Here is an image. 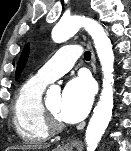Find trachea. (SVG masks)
I'll list each match as a JSON object with an SVG mask.
<instances>
[{"mask_svg":"<svg viewBox=\"0 0 131 151\" xmlns=\"http://www.w3.org/2000/svg\"><path fill=\"white\" fill-rule=\"evenodd\" d=\"M84 58H85V60L89 61L91 59V52L90 51H86L84 53Z\"/></svg>","mask_w":131,"mask_h":151,"instance_id":"trachea-1","label":"trachea"}]
</instances>
